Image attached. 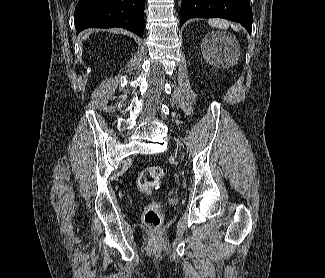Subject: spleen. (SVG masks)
Instances as JSON below:
<instances>
[{
	"instance_id": "3e777b00",
	"label": "spleen",
	"mask_w": 325,
	"mask_h": 278,
	"mask_svg": "<svg viewBox=\"0 0 325 278\" xmlns=\"http://www.w3.org/2000/svg\"><path fill=\"white\" fill-rule=\"evenodd\" d=\"M208 23L212 27L219 28V29H227L229 27V25H231V27L235 31L239 30L237 26H234V25L230 24L228 21L223 20V19H209Z\"/></svg>"
}]
</instances>
